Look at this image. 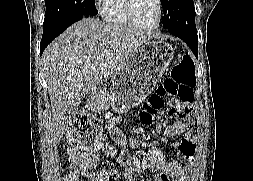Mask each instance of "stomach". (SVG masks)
<instances>
[{
    "mask_svg": "<svg viewBox=\"0 0 253 181\" xmlns=\"http://www.w3.org/2000/svg\"><path fill=\"white\" fill-rule=\"evenodd\" d=\"M174 47L161 40H149L137 49L112 78L109 93L94 92L91 104L105 111L110 106L119 114L139 105L160 81L174 58Z\"/></svg>",
    "mask_w": 253,
    "mask_h": 181,
    "instance_id": "stomach-1",
    "label": "stomach"
}]
</instances>
